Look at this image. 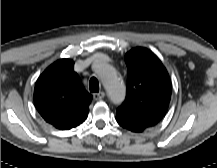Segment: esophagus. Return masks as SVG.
<instances>
[{"mask_svg":"<svg viewBox=\"0 0 217 168\" xmlns=\"http://www.w3.org/2000/svg\"><path fill=\"white\" fill-rule=\"evenodd\" d=\"M105 97V92L101 91L93 94V99L96 101L102 100Z\"/></svg>","mask_w":217,"mask_h":168,"instance_id":"1","label":"esophagus"}]
</instances>
